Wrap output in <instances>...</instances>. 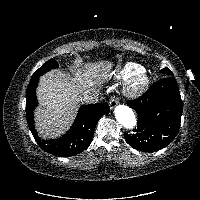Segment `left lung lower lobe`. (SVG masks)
Here are the masks:
<instances>
[{"instance_id": "obj_1", "label": "left lung lower lobe", "mask_w": 200, "mask_h": 200, "mask_svg": "<svg viewBox=\"0 0 200 200\" xmlns=\"http://www.w3.org/2000/svg\"><path fill=\"white\" fill-rule=\"evenodd\" d=\"M127 104L138 116L133 134L125 133L127 143L139 151L154 152L176 137L182 114V101L176 80L164 77L143 95Z\"/></svg>"}]
</instances>
